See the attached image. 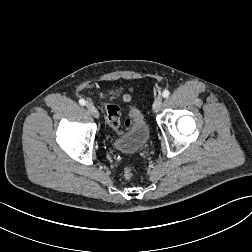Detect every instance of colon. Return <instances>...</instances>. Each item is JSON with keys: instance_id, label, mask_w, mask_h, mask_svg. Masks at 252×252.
Masks as SVG:
<instances>
[{"instance_id": "obj_1", "label": "colon", "mask_w": 252, "mask_h": 252, "mask_svg": "<svg viewBox=\"0 0 252 252\" xmlns=\"http://www.w3.org/2000/svg\"><path fill=\"white\" fill-rule=\"evenodd\" d=\"M107 113V123L108 125L115 131H118L121 125L120 120V111L116 105H107L106 106ZM127 125V122H126ZM135 168L132 165H128L124 168L123 174L124 177L129 179L134 175Z\"/></svg>"}]
</instances>
